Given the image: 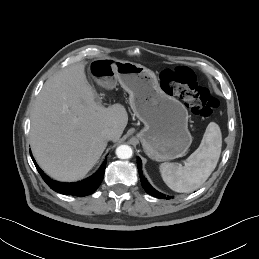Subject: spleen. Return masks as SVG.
<instances>
[{
	"label": "spleen",
	"mask_w": 259,
	"mask_h": 259,
	"mask_svg": "<svg viewBox=\"0 0 259 259\" xmlns=\"http://www.w3.org/2000/svg\"><path fill=\"white\" fill-rule=\"evenodd\" d=\"M222 147V134L210 122L199 147L187 158L185 165L162 163L159 170L163 181L175 192L188 193L198 189L217 166Z\"/></svg>",
	"instance_id": "3e777b00"
}]
</instances>
